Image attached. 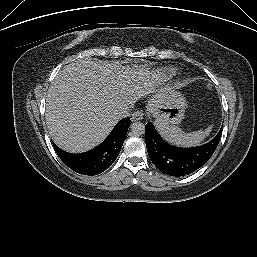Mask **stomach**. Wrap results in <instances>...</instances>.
<instances>
[{"instance_id": "stomach-1", "label": "stomach", "mask_w": 257, "mask_h": 257, "mask_svg": "<svg viewBox=\"0 0 257 257\" xmlns=\"http://www.w3.org/2000/svg\"><path fill=\"white\" fill-rule=\"evenodd\" d=\"M185 109L186 100L183 95L172 88H167L160 103L152 107L150 112L155 118L156 125L169 126L182 121Z\"/></svg>"}]
</instances>
